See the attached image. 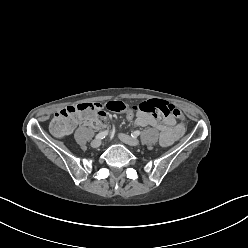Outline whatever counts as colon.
I'll return each mask as SVG.
<instances>
[{
    "mask_svg": "<svg viewBox=\"0 0 248 248\" xmlns=\"http://www.w3.org/2000/svg\"><path fill=\"white\" fill-rule=\"evenodd\" d=\"M107 109L121 112V115L128 122L134 121L133 110L144 112L157 118L172 115L179 119L182 124L185 122V118L178 108L161 100H146L130 107L120 101H111L107 104ZM80 120H85L97 126H106L110 122V117L99 103H81L68 106L55 114L50 123V132L56 137H62L69 133Z\"/></svg>",
    "mask_w": 248,
    "mask_h": 248,
    "instance_id": "colon-1",
    "label": "colon"
}]
</instances>
